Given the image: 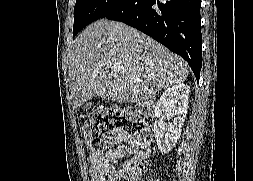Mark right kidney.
Returning <instances> with one entry per match:
<instances>
[{"instance_id":"right-kidney-1","label":"right kidney","mask_w":253,"mask_h":181,"mask_svg":"<svg viewBox=\"0 0 253 181\" xmlns=\"http://www.w3.org/2000/svg\"><path fill=\"white\" fill-rule=\"evenodd\" d=\"M190 87L184 83L169 87L161 95L155 107L158 120L153 132L157 147L162 154L169 153L179 139L185 121ZM166 119L168 122H164Z\"/></svg>"}]
</instances>
